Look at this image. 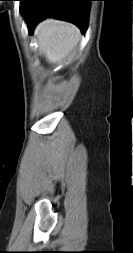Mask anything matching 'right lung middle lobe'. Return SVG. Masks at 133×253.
Listing matches in <instances>:
<instances>
[{
  "mask_svg": "<svg viewBox=\"0 0 133 253\" xmlns=\"http://www.w3.org/2000/svg\"><path fill=\"white\" fill-rule=\"evenodd\" d=\"M29 0H20V8L23 11Z\"/></svg>",
  "mask_w": 133,
  "mask_h": 253,
  "instance_id": "obj_1",
  "label": "right lung middle lobe"
}]
</instances>
